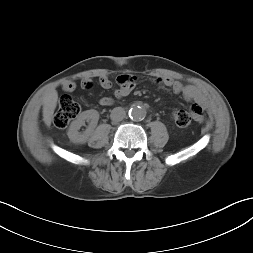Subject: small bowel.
I'll return each instance as SVG.
<instances>
[{
  "mask_svg": "<svg viewBox=\"0 0 253 253\" xmlns=\"http://www.w3.org/2000/svg\"><path fill=\"white\" fill-rule=\"evenodd\" d=\"M117 83L119 87L114 91L115 98H122L127 96L134 86V79L129 75H120L117 77ZM99 84L104 89H110L112 87V82L110 78L103 75L99 78ZM156 84L161 87H169L175 94H181L183 98L192 102L191 107L193 117L196 121L202 122L204 119L203 109L206 104L204 96L200 91L192 85H183L181 82L176 81L169 77L157 78ZM93 86V80L89 77H85L81 80V87L84 89H90ZM62 88L64 91L72 92L76 88V83L73 81H66L63 83ZM114 103L112 97H102L99 100V104L102 106H110Z\"/></svg>",
  "mask_w": 253,
  "mask_h": 253,
  "instance_id": "1",
  "label": "small bowel"
}]
</instances>
